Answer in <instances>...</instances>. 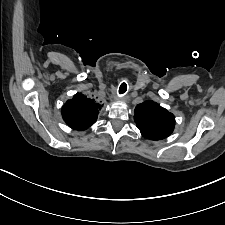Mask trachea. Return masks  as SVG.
<instances>
[{"label":"trachea","instance_id":"trachea-1","mask_svg":"<svg viewBox=\"0 0 225 225\" xmlns=\"http://www.w3.org/2000/svg\"><path fill=\"white\" fill-rule=\"evenodd\" d=\"M127 91V84L123 82L119 87V94H124Z\"/></svg>","mask_w":225,"mask_h":225}]
</instances>
